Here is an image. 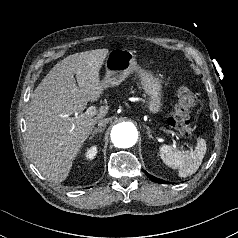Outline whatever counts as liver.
I'll return each instance as SVG.
<instances>
[{
    "label": "liver",
    "mask_w": 238,
    "mask_h": 238,
    "mask_svg": "<svg viewBox=\"0 0 238 238\" xmlns=\"http://www.w3.org/2000/svg\"><path fill=\"white\" fill-rule=\"evenodd\" d=\"M108 49L69 55L57 63L31 95L26 117V145L30 158L50 181L63 182L97 120L108 113L101 106L96 117L81 114L88 101L104 93L99 71ZM74 75L78 85L76 84Z\"/></svg>",
    "instance_id": "liver-1"
}]
</instances>
